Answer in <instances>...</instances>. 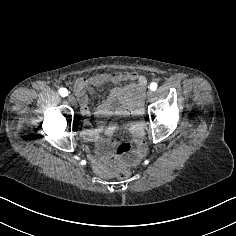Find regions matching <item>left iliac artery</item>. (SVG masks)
<instances>
[{"label": "left iliac artery", "instance_id": "1", "mask_svg": "<svg viewBox=\"0 0 236 236\" xmlns=\"http://www.w3.org/2000/svg\"><path fill=\"white\" fill-rule=\"evenodd\" d=\"M150 89H151L152 91H155V90L157 89V83L152 82V83L150 84Z\"/></svg>", "mask_w": 236, "mask_h": 236}]
</instances>
